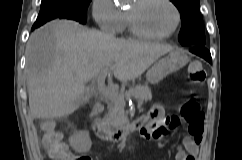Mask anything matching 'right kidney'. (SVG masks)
Wrapping results in <instances>:
<instances>
[{
  "mask_svg": "<svg viewBox=\"0 0 242 160\" xmlns=\"http://www.w3.org/2000/svg\"><path fill=\"white\" fill-rule=\"evenodd\" d=\"M70 146L79 153L88 152L92 146L89 133L87 131H79L69 138Z\"/></svg>",
  "mask_w": 242,
  "mask_h": 160,
  "instance_id": "right-kidney-1",
  "label": "right kidney"
}]
</instances>
